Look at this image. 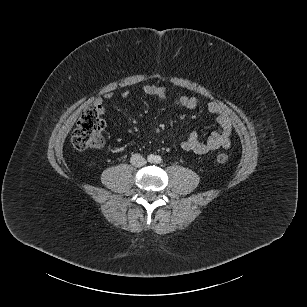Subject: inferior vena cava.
I'll return each instance as SVG.
<instances>
[{
    "mask_svg": "<svg viewBox=\"0 0 307 307\" xmlns=\"http://www.w3.org/2000/svg\"><path fill=\"white\" fill-rule=\"evenodd\" d=\"M130 162L135 167H141L146 164V160L140 154H133Z\"/></svg>",
    "mask_w": 307,
    "mask_h": 307,
    "instance_id": "inferior-vena-cava-1",
    "label": "inferior vena cava"
}]
</instances>
